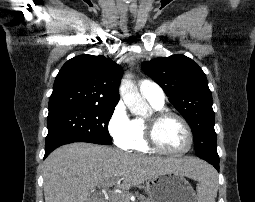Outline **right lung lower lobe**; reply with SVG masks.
Here are the masks:
<instances>
[{
    "label": "right lung lower lobe",
    "instance_id": "obj_1",
    "mask_svg": "<svg viewBox=\"0 0 255 202\" xmlns=\"http://www.w3.org/2000/svg\"><path fill=\"white\" fill-rule=\"evenodd\" d=\"M68 142H59V143H52L48 146H45V156L44 158H46L54 149H56L57 147L67 144Z\"/></svg>",
    "mask_w": 255,
    "mask_h": 202
}]
</instances>
